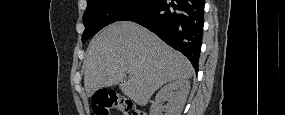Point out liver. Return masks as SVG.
<instances>
[{"mask_svg":"<svg viewBox=\"0 0 285 115\" xmlns=\"http://www.w3.org/2000/svg\"><path fill=\"white\" fill-rule=\"evenodd\" d=\"M84 67L88 96L120 83L123 94L142 106L167 82L189 79L194 72L180 52L127 21L110 24L92 39Z\"/></svg>","mask_w":285,"mask_h":115,"instance_id":"liver-1","label":"liver"}]
</instances>
